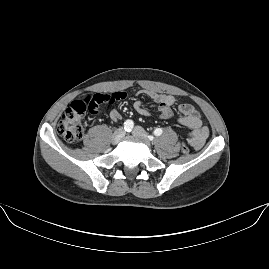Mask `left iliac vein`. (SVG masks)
I'll use <instances>...</instances> for the list:
<instances>
[{
	"instance_id": "left-iliac-vein-1",
	"label": "left iliac vein",
	"mask_w": 269,
	"mask_h": 269,
	"mask_svg": "<svg viewBox=\"0 0 269 269\" xmlns=\"http://www.w3.org/2000/svg\"><path fill=\"white\" fill-rule=\"evenodd\" d=\"M133 135L138 137V138H141L143 140H148V135L147 133L145 132V130L140 127V126H136L134 129H133Z\"/></svg>"
}]
</instances>
